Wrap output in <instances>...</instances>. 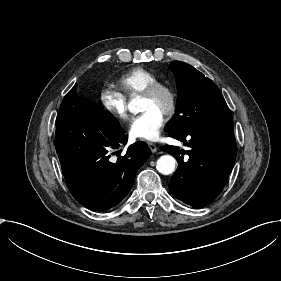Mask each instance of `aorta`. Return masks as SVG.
Instances as JSON below:
<instances>
[{"mask_svg": "<svg viewBox=\"0 0 281 281\" xmlns=\"http://www.w3.org/2000/svg\"><path fill=\"white\" fill-rule=\"evenodd\" d=\"M128 109L131 113H138L140 110L139 98H133L129 104ZM157 170L163 175L172 174L175 171L176 160L171 155H163L157 160Z\"/></svg>", "mask_w": 281, "mask_h": 281, "instance_id": "762f6f07", "label": "aorta"}]
</instances>
